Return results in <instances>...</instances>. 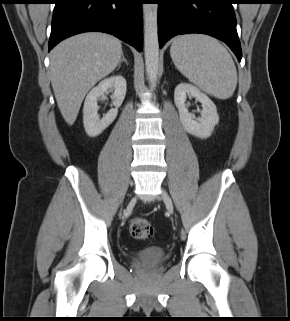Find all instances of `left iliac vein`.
<instances>
[{"mask_svg": "<svg viewBox=\"0 0 290 321\" xmlns=\"http://www.w3.org/2000/svg\"><path fill=\"white\" fill-rule=\"evenodd\" d=\"M162 199H163L168 211L172 212L173 211V203H172L171 198L169 197V195L165 191L162 192Z\"/></svg>", "mask_w": 290, "mask_h": 321, "instance_id": "1", "label": "left iliac vein"}]
</instances>
